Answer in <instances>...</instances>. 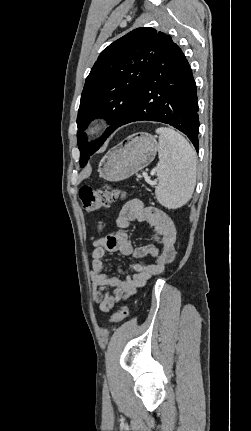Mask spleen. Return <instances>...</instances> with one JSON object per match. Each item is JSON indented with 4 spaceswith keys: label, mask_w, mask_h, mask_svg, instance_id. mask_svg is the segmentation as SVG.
I'll return each instance as SVG.
<instances>
[{
    "label": "spleen",
    "mask_w": 251,
    "mask_h": 431,
    "mask_svg": "<svg viewBox=\"0 0 251 431\" xmlns=\"http://www.w3.org/2000/svg\"><path fill=\"white\" fill-rule=\"evenodd\" d=\"M159 135L155 195L168 209H177L191 198L196 184V153L177 131L167 127L156 129Z\"/></svg>",
    "instance_id": "1"
}]
</instances>
